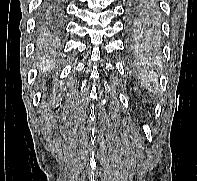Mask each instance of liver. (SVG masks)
I'll use <instances>...</instances> for the list:
<instances>
[{"mask_svg":"<svg viewBox=\"0 0 197 181\" xmlns=\"http://www.w3.org/2000/svg\"><path fill=\"white\" fill-rule=\"evenodd\" d=\"M52 66H54V62L51 60H42V62L39 64V68L43 72L48 71Z\"/></svg>","mask_w":197,"mask_h":181,"instance_id":"liver-1","label":"liver"}]
</instances>
